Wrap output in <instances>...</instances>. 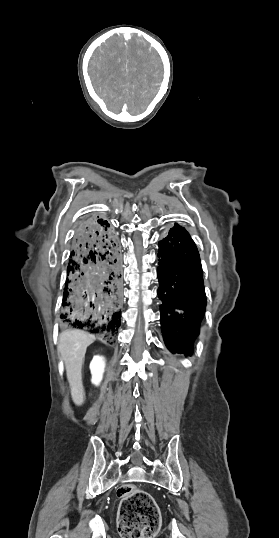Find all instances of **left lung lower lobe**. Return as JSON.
<instances>
[{
    "label": "left lung lower lobe",
    "instance_id": "1",
    "mask_svg": "<svg viewBox=\"0 0 279 538\" xmlns=\"http://www.w3.org/2000/svg\"><path fill=\"white\" fill-rule=\"evenodd\" d=\"M158 245L163 338L172 353L191 355L206 306L199 253L188 232L178 224Z\"/></svg>",
    "mask_w": 279,
    "mask_h": 538
}]
</instances>
